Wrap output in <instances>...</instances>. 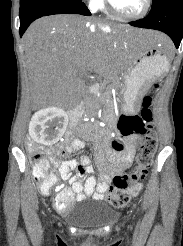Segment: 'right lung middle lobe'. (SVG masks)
Returning <instances> with one entry per match:
<instances>
[{"label": "right lung middle lobe", "mask_w": 183, "mask_h": 246, "mask_svg": "<svg viewBox=\"0 0 183 246\" xmlns=\"http://www.w3.org/2000/svg\"><path fill=\"white\" fill-rule=\"evenodd\" d=\"M30 1H38V0H20V3H26V2H30Z\"/></svg>", "instance_id": "obj_1"}]
</instances>
